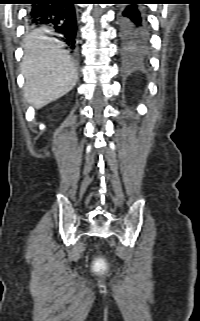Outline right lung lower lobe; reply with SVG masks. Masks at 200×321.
Here are the masks:
<instances>
[{"label":"right lung lower lobe","mask_w":200,"mask_h":321,"mask_svg":"<svg viewBox=\"0 0 200 321\" xmlns=\"http://www.w3.org/2000/svg\"><path fill=\"white\" fill-rule=\"evenodd\" d=\"M28 26L54 31L68 48L76 47L77 20L74 4L78 0H28Z\"/></svg>","instance_id":"98d812e1"}]
</instances>
